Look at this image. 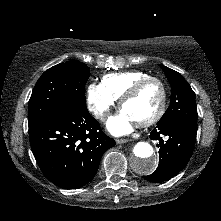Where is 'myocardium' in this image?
<instances>
[{
    "mask_svg": "<svg viewBox=\"0 0 221 221\" xmlns=\"http://www.w3.org/2000/svg\"><path fill=\"white\" fill-rule=\"evenodd\" d=\"M150 82H156L159 84L161 88V102L158 110L156 113L151 116L150 118L136 122L138 126L140 127H147L154 123H156L160 118L163 116L166 104H167V88L165 83L158 77L155 76H148L146 78H143L136 82L121 98H120V108L123 109L124 105L131 99H133L142 89L144 86H146Z\"/></svg>",
    "mask_w": 221,
    "mask_h": 221,
    "instance_id": "1",
    "label": "myocardium"
}]
</instances>
